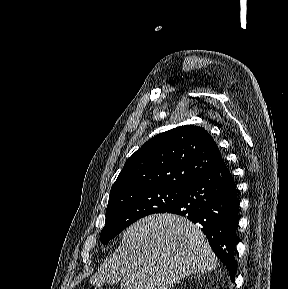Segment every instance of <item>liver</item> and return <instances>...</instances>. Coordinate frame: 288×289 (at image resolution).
Here are the masks:
<instances>
[{
  "label": "liver",
  "mask_w": 288,
  "mask_h": 289,
  "mask_svg": "<svg viewBox=\"0 0 288 289\" xmlns=\"http://www.w3.org/2000/svg\"><path fill=\"white\" fill-rule=\"evenodd\" d=\"M217 262L198 225L174 214H153L126 229L90 283L100 287L119 272L121 289H171L185 276L212 271Z\"/></svg>",
  "instance_id": "obj_1"
}]
</instances>
